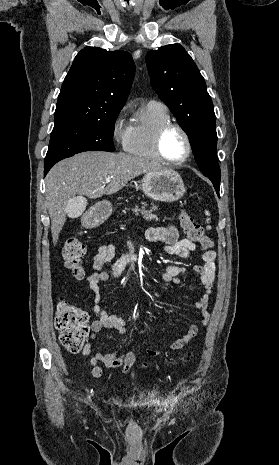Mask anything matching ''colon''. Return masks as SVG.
Listing matches in <instances>:
<instances>
[{"label": "colon", "instance_id": "1", "mask_svg": "<svg viewBox=\"0 0 279 465\" xmlns=\"http://www.w3.org/2000/svg\"><path fill=\"white\" fill-rule=\"evenodd\" d=\"M180 223L189 239L198 242L203 248H209L212 244L205 234L201 224L196 222L187 212L180 213ZM85 254V245L77 235L69 236L62 248V258L76 279H82L85 275L81 261ZM55 327L60 332L61 344L71 353L79 352L88 336V316L85 311L74 304L60 299L54 319ZM188 354L186 361L190 360Z\"/></svg>", "mask_w": 279, "mask_h": 465}]
</instances>
